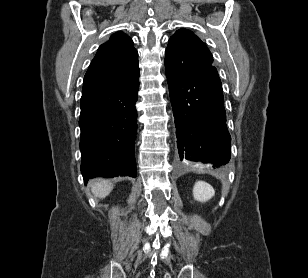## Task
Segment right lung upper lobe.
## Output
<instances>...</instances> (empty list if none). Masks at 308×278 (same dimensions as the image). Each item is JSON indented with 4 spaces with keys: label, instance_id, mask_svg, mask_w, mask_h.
Instances as JSON below:
<instances>
[{
    "label": "right lung upper lobe",
    "instance_id": "1",
    "mask_svg": "<svg viewBox=\"0 0 308 278\" xmlns=\"http://www.w3.org/2000/svg\"><path fill=\"white\" fill-rule=\"evenodd\" d=\"M138 75V53L132 39L116 32L98 48L85 74L82 95L114 91L129 85Z\"/></svg>",
    "mask_w": 308,
    "mask_h": 278
}]
</instances>
